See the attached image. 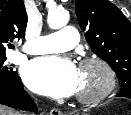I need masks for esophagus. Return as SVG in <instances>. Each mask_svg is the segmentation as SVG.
Listing matches in <instances>:
<instances>
[{"label": "esophagus", "mask_w": 131, "mask_h": 115, "mask_svg": "<svg viewBox=\"0 0 131 115\" xmlns=\"http://www.w3.org/2000/svg\"><path fill=\"white\" fill-rule=\"evenodd\" d=\"M50 115H62L61 111L57 108H53L50 111Z\"/></svg>", "instance_id": "1"}]
</instances>
